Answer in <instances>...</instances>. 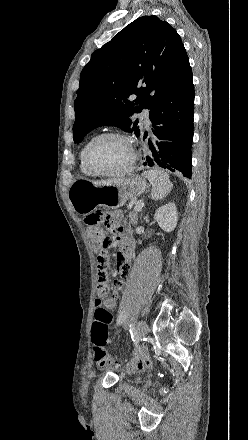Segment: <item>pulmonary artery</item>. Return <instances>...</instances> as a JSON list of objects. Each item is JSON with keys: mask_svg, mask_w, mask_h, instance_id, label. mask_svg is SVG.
<instances>
[{"mask_svg": "<svg viewBox=\"0 0 248 440\" xmlns=\"http://www.w3.org/2000/svg\"><path fill=\"white\" fill-rule=\"evenodd\" d=\"M143 116H144V119H145L146 121H148V117H149V113H148V111H145V112L143 113Z\"/></svg>", "mask_w": 248, "mask_h": 440, "instance_id": "obj_1", "label": "pulmonary artery"}]
</instances>
